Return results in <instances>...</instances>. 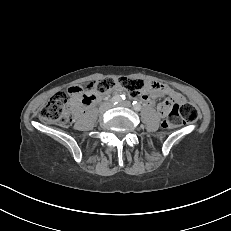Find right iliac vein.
<instances>
[{
    "label": "right iliac vein",
    "mask_w": 231,
    "mask_h": 231,
    "mask_svg": "<svg viewBox=\"0 0 231 231\" xmlns=\"http://www.w3.org/2000/svg\"><path fill=\"white\" fill-rule=\"evenodd\" d=\"M107 107L109 108V107H111V105H109V106H107ZM103 112H104V110L101 111V113H103Z\"/></svg>",
    "instance_id": "obj_1"
}]
</instances>
